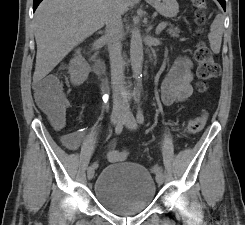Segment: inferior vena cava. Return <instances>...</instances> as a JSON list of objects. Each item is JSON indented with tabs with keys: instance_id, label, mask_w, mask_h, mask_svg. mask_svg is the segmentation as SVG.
Here are the masks:
<instances>
[{
	"instance_id": "1",
	"label": "inferior vena cava",
	"mask_w": 245,
	"mask_h": 225,
	"mask_svg": "<svg viewBox=\"0 0 245 225\" xmlns=\"http://www.w3.org/2000/svg\"><path fill=\"white\" fill-rule=\"evenodd\" d=\"M121 15L118 0H109L106 10L104 40L108 43L110 56L113 110H119L125 107V100L121 95L125 65L120 42L123 30Z\"/></svg>"
}]
</instances>
